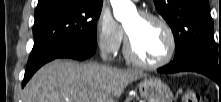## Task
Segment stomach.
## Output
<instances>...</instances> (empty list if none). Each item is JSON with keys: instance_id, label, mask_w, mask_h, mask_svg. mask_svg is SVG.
Instances as JSON below:
<instances>
[{"instance_id": "1", "label": "stomach", "mask_w": 221, "mask_h": 102, "mask_svg": "<svg viewBox=\"0 0 221 102\" xmlns=\"http://www.w3.org/2000/svg\"><path fill=\"white\" fill-rule=\"evenodd\" d=\"M139 92L146 102H173V92L158 78H148L141 81Z\"/></svg>"}]
</instances>
